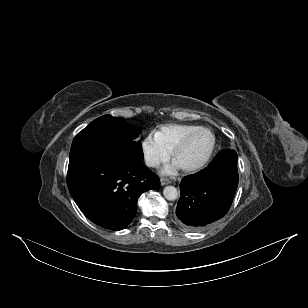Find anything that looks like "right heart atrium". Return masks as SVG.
<instances>
[{
    "label": "right heart atrium",
    "instance_id": "1",
    "mask_svg": "<svg viewBox=\"0 0 308 308\" xmlns=\"http://www.w3.org/2000/svg\"><path fill=\"white\" fill-rule=\"evenodd\" d=\"M140 151L144 163L149 168H157L170 158V153L151 134L141 140Z\"/></svg>",
    "mask_w": 308,
    "mask_h": 308
}]
</instances>
